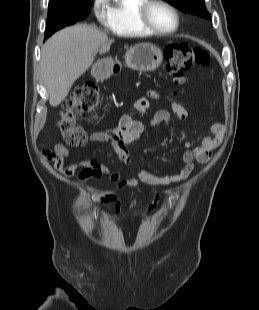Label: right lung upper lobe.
Listing matches in <instances>:
<instances>
[{
  "instance_id": "obj_1",
  "label": "right lung upper lobe",
  "mask_w": 259,
  "mask_h": 310,
  "mask_svg": "<svg viewBox=\"0 0 259 310\" xmlns=\"http://www.w3.org/2000/svg\"><path fill=\"white\" fill-rule=\"evenodd\" d=\"M89 0H49V7L59 6V5H67V4H76V3H84Z\"/></svg>"
}]
</instances>
